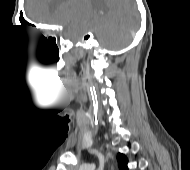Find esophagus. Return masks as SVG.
<instances>
[{
  "label": "esophagus",
  "instance_id": "34e87169",
  "mask_svg": "<svg viewBox=\"0 0 190 170\" xmlns=\"http://www.w3.org/2000/svg\"><path fill=\"white\" fill-rule=\"evenodd\" d=\"M111 170H114L113 166H111Z\"/></svg>",
  "mask_w": 190,
  "mask_h": 170
}]
</instances>
